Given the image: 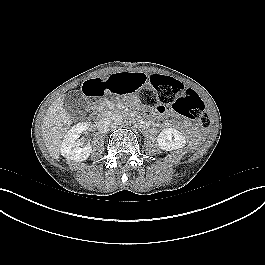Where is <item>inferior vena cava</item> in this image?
<instances>
[{
	"label": "inferior vena cava",
	"instance_id": "602c4592",
	"mask_svg": "<svg viewBox=\"0 0 265 265\" xmlns=\"http://www.w3.org/2000/svg\"><path fill=\"white\" fill-rule=\"evenodd\" d=\"M112 127L113 123L109 117H102L97 122V128L100 133H107Z\"/></svg>",
	"mask_w": 265,
	"mask_h": 265
}]
</instances>
